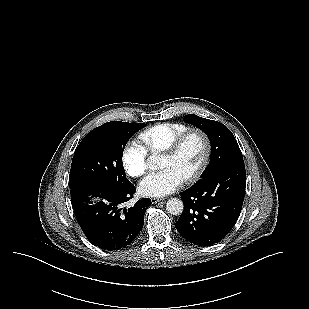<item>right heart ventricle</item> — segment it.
Instances as JSON below:
<instances>
[{
	"mask_svg": "<svg viewBox=\"0 0 309 309\" xmlns=\"http://www.w3.org/2000/svg\"><path fill=\"white\" fill-rule=\"evenodd\" d=\"M189 127L183 123L166 122L151 126L139 134L145 150L151 154L163 152Z\"/></svg>",
	"mask_w": 309,
	"mask_h": 309,
	"instance_id": "obj_1",
	"label": "right heart ventricle"
}]
</instances>
